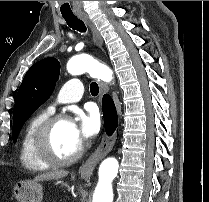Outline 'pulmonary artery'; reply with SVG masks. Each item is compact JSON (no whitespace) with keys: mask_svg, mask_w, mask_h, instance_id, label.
I'll use <instances>...</instances> for the list:
<instances>
[{"mask_svg":"<svg viewBox=\"0 0 209 202\" xmlns=\"http://www.w3.org/2000/svg\"><path fill=\"white\" fill-rule=\"evenodd\" d=\"M82 97V80H69L61 86V101L76 102ZM54 105L49 107V111H54Z\"/></svg>","mask_w":209,"mask_h":202,"instance_id":"e3ab8cb5","label":"pulmonary artery"}]
</instances>
